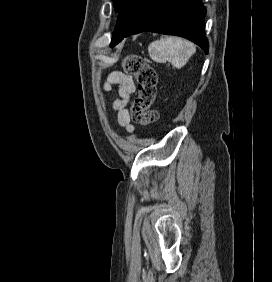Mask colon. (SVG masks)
I'll return each mask as SVG.
<instances>
[{
  "mask_svg": "<svg viewBox=\"0 0 272 282\" xmlns=\"http://www.w3.org/2000/svg\"><path fill=\"white\" fill-rule=\"evenodd\" d=\"M124 72L135 77L138 94L131 105V119L140 125H147L158 118L152 109L157 94V74L146 60L137 54L128 55L123 62Z\"/></svg>",
  "mask_w": 272,
  "mask_h": 282,
  "instance_id": "colon-1",
  "label": "colon"
}]
</instances>
